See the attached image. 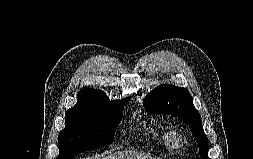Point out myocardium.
I'll use <instances>...</instances> for the list:
<instances>
[{"label": "myocardium", "mask_w": 253, "mask_h": 159, "mask_svg": "<svg viewBox=\"0 0 253 159\" xmlns=\"http://www.w3.org/2000/svg\"><path fill=\"white\" fill-rule=\"evenodd\" d=\"M169 146L173 149H180L182 146V134L178 130L169 132Z\"/></svg>", "instance_id": "f54148a6"}]
</instances>
